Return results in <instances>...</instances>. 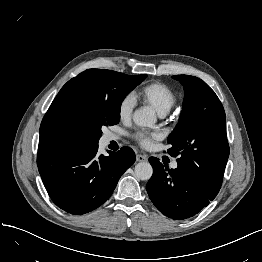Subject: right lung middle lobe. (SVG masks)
Wrapping results in <instances>:
<instances>
[{
  "label": "right lung middle lobe",
  "instance_id": "dd1d6c3e",
  "mask_svg": "<svg viewBox=\"0 0 262 262\" xmlns=\"http://www.w3.org/2000/svg\"><path fill=\"white\" fill-rule=\"evenodd\" d=\"M146 77L147 75L129 76L114 71L105 86L80 85L66 112L67 140L97 145L101 128L119 122L123 99Z\"/></svg>",
  "mask_w": 262,
  "mask_h": 262
}]
</instances>
